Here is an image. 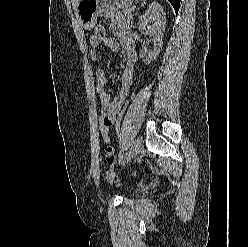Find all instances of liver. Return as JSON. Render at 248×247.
Returning <instances> with one entry per match:
<instances>
[{"label": "liver", "mask_w": 248, "mask_h": 247, "mask_svg": "<svg viewBox=\"0 0 248 247\" xmlns=\"http://www.w3.org/2000/svg\"><path fill=\"white\" fill-rule=\"evenodd\" d=\"M80 0H73V5L74 7H76L77 3L79 2Z\"/></svg>", "instance_id": "1"}]
</instances>
